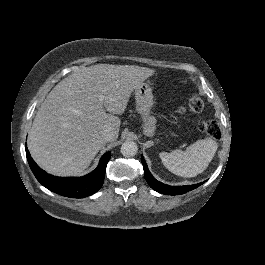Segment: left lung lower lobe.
<instances>
[{
    "mask_svg": "<svg viewBox=\"0 0 265 265\" xmlns=\"http://www.w3.org/2000/svg\"><path fill=\"white\" fill-rule=\"evenodd\" d=\"M141 161L144 167V174H145V178L146 181L148 182V184L150 185L151 188H153L154 190H156L159 193L162 194H166V195H180V194H184L188 191H191L195 188H197L198 186H200L202 183L199 184H195V185H187V186H169V185H165L159 181H157L149 172L148 167L146 165V162L143 158V156L141 157Z\"/></svg>",
    "mask_w": 265,
    "mask_h": 265,
    "instance_id": "1",
    "label": "left lung lower lobe"
}]
</instances>
